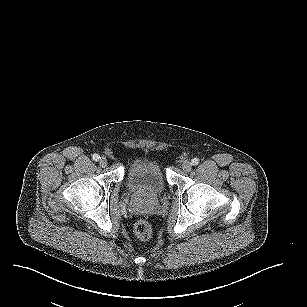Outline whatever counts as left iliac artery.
Instances as JSON below:
<instances>
[{
    "label": "left iliac artery",
    "mask_w": 307,
    "mask_h": 307,
    "mask_svg": "<svg viewBox=\"0 0 307 307\" xmlns=\"http://www.w3.org/2000/svg\"><path fill=\"white\" fill-rule=\"evenodd\" d=\"M199 163V159L198 158H193L192 160H191V164L192 165H197Z\"/></svg>",
    "instance_id": "1"
}]
</instances>
